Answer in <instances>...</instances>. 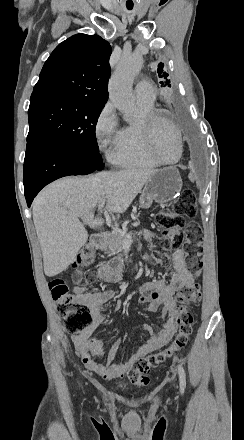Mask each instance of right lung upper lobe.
<instances>
[{
	"mask_svg": "<svg viewBox=\"0 0 244 440\" xmlns=\"http://www.w3.org/2000/svg\"><path fill=\"white\" fill-rule=\"evenodd\" d=\"M110 44L98 35L76 34L45 62L30 100L87 99L105 102Z\"/></svg>",
	"mask_w": 244,
	"mask_h": 440,
	"instance_id": "right-lung-upper-lobe-1",
	"label": "right lung upper lobe"
}]
</instances>
